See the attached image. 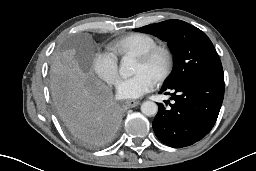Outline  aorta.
<instances>
[{
    "instance_id": "1",
    "label": "aorta",
    "mask_w": 256,
    "mask_h": 171,
    "mask_svg": "<svg viewBox=\"0 0 256 171\" xmlns=\"http://www.w3.org/2000/svg\"><path fill=\"white\" fill-rule=\"evenodd\" d=\"M134 59L130 57H123L120 62L119 72L123 76H131L134 73ZM141 112L146 116H154L158 112V106L153 101H145L141 105Z\"/></svg>"
}]
</instances>
